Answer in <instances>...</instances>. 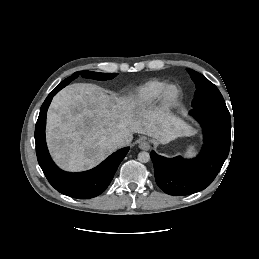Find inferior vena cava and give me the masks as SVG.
<instances>
[{"mask_svg": "<svg viewBox=\"0 0 259 259\" xmlns=\"http://www.w3.org/2000/svg\"><path fill=\"white\" fill-rule=\"evenodd\" d=\"M110 142L117 147H121L126 144V138L118 133L110 138Z\"/></svg>", "mask_w": 259, "mask_h": 259, "instance_id": "inferior-vena-cava-1", "label": "inferior vena cava"}]
</instances>
